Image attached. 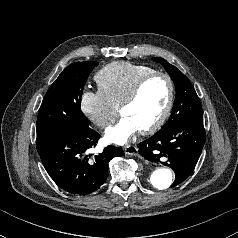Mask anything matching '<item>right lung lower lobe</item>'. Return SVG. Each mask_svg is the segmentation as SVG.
<instances>
[{"mask_svg": "<svg viewBox=\"0 0 238 238\" xmlns=\"http://www.w3.org/2000/svg\"><path fill=\"white\" fill-rule=\"evenodd\" d=\"M100 135L89 127L55 131L37 140V151L52 180L63 190L87 195L98 190L107 179L109 161L123 151L107 146L98 155H86Z\"/></svg>", "mask_w": 238, "mask_h": 238, "instance_id": "obj_1", "label": "right lung lower lobe"}]
</instances>
